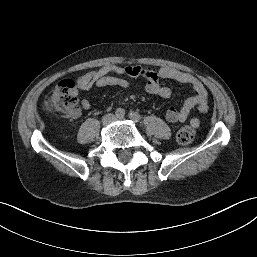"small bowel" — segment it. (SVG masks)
<instances>
[{"label":"small bowel","instance_id":"small-bowel-1","mask_svg":"<svg viewBox=\"0 0 257 257\" xmlns=\"http://www.w3.org/2000/svg\"><path fill=\"white\" fill-rule=\"evenodd\" d=\"M120 76L143 78L145 80L144 89L147 93L158 95L165 99L170 98L172 94L171 88L167 84L169 80L189 85L193 89L194 94L188 97L179 108L170 106L166 110L165 118L169 123L185 122L190 112L196 107L201 114L208 112V92L202 81L190 73L172 67H163L157 70L152 67L138 65L126 67L116 65L103 66L80 76L76 81V93L78 94L80 91H87L94 87L116 86L128 88L129 81ZM91 106L90 100L82 99L80 107H77L74 112L67 113V116L71 119H77L81 116L82 109L88 110ZM190 124L197 128L200 125V119L193 117L190 120Z\"/></svg>","mask_w":257,"mask_h":257}]
</instances>
